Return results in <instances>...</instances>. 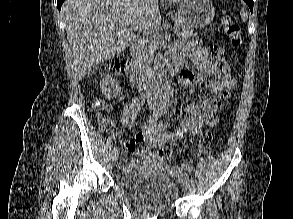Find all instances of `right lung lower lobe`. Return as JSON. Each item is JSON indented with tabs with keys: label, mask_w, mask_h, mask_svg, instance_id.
I'll return each instance as SVG.
<instances>
[{
	"label": "right lung lower lobe",
	"mask_w": 293,
	"mask_h": 219,
	"mask_svg": "<svg viewBox=\"0 0 293 219\" xmlns=\"http://www.w3.org/2000/svg\"><path fill=\"white\" fill-rule=\"evenodd\" d=\"M64 2V0H58L57 1V7L60 10L62 3Z\"/></svg>",
	"instance_id": "98d812e1"
}]
</instances>
